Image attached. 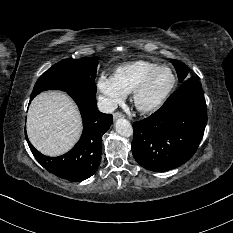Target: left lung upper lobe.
<instances>
[{"label": "left lung upper lobe", "mask_w": 233, "mask_h": 233, "mask_svg": "<svg viewBox=\"0 0 233 233\" xmlns=\"http://www.w3.org/2000/svg\"><path fill=\"white\" fill-rule=\"evenodd\" d=\"M171 62L174 65V67H175V69L177 71L179 80L185 79L187 77V75H188L189 68L185 64H183V63H181L179 61L173 60Z\"/></svg>", "instance_id": "obj_1"}]
</instances>
